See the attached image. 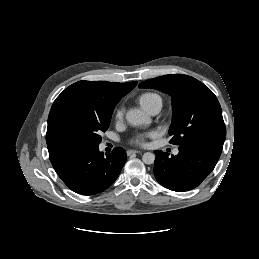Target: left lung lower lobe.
Segmentation results:
<instances>
[{
    "label": "left lung lower lobe",
    "mask_w": 259,
    "mask_h": 259,
    "mask_svg": "<svg viewBox=\"0 0 259 259\" xmlns=\"http://www.w3.org/2000/svg\"><path fill=\"white\" fill-rule=\"evenodd\" d=\"M223 143L212 140L195 141L180 146L179 153L155 151L154 175L164 187L188 191L197 187L214 169L222 152Z\"/></svg>",
    "instance_id": "1"
}]
</instances>
